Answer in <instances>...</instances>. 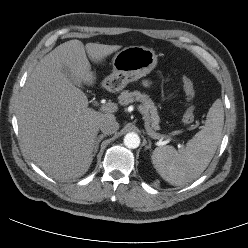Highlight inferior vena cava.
<instances>
[{
  "label": "inferior vena cava",
  "mask_w": 248,
  "mask_h": 248,
  "mask_svg": "<svg viewBox=\"0 0 248 248\" xmlns=\"http://www.w3.org/2000/svg\"><path fill=\"white\" fill-rule=\"evenodd\" d=\"M99 128L105 135H109L119 129V123L114 118H106L101 121Z\"/></svg>",
  "instance_id": "obj_1"
}]
</instances>
